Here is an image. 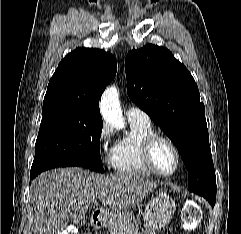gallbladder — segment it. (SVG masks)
Instances as JSON below:
<instances>
[{
    "instance_id": "bac80fb5",
    "label": "gallbladder",
    "mask_w": 241,
    "mask_h": 234,
    "mask_svg": "<svg viewBox=\"0 0 241 234\" xmlns=\"http://www.w3.org/2000/svg\"><path fill=\"white\" fill-rule=\"evenodd\" d=\"M85 221V212L83 210H78L75 218L76 223H83Z\"/></svg>"
}]
</instances>
